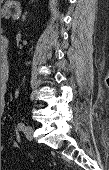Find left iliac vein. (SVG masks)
<instances>
[{
	"mask_svg": "<svg viewBox=\"0 0 109 170\" xmlns=\"http://www.w3.org/2000/svg\"><path fill=\"white\" fill-rule=\"evenodd\" d=\"M24 134L28 140H32L33 139V128L30 125L26 126L24 128Z\"/></svg>",
	"mask_w": 109,
	"mask_h": 170,
	"instance_id": "obj_1",
	"label": "left iliac vein"
}]
</instances>
